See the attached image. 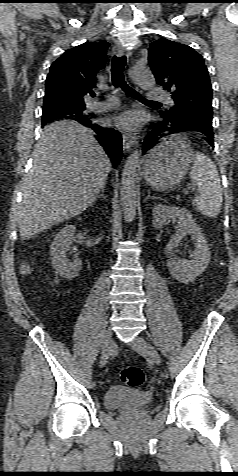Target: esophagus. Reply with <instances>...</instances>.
Returning <instances> with one entry per match:
<instances>
[{
  "mask_svg": "<svg viewBox=\"0 0 238 476\" xmlns=\"http://www.w3.org/2000/svg\"><path fill=\"white\" fill-rule=\"evenodd\" d=\"M115 53L117 56L121 57L123 55H127L129 57V53L125 52V49L122 46L115 47ZM136 143V136L133 134H123V148L124 150H129L132 148Z\"/></svg>",
  "mask_w": 238,
  "mask_h": 476,
  "instance_id": "1",
  "label": "esophagus"
}]
</instances>
